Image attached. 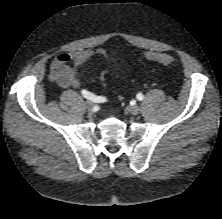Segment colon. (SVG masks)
Returning <instances> with one entry per match:
<instances>
[{"label":"colon","instance_id":"1","mask_svg":"<svg viewBox=\"0 0 222 219\" xmlns=\"http://www.w3.org/2000/svg\"><path fill=\"white\" fill-rule=\"evenodd\" d=\"M144 57L149 61L156 62L162 65H170L175 62V57L167 53L148 52L144 55Z\"/></svg>","mask_w":222,"mask_h":219}]
</instances>
